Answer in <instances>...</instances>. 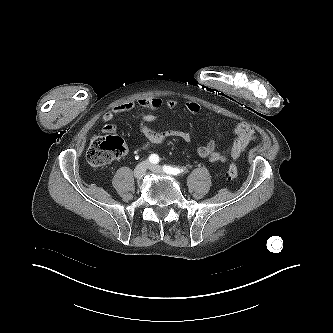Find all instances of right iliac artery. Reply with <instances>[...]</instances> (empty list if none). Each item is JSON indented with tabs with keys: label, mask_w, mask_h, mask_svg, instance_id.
Wrapping results in <instances>:
<instances>
[{
	"label": "right iliac artery",
	"mask_w": 333,
	"mask_h": 333,
	"mask_svg": "<svg viewBox=\"0 0 333 333\" xmlns=\"http://www.w3.org/2000/svg\"><path fill=\"white\" fill-rule=\"evenodd\" d=\"M149 161L153 164H156L159 162V156L157 154H151L149 156Z\"/></svg>",
	"instance_id": "right-iliac-artery-1"
}]
</instances>
